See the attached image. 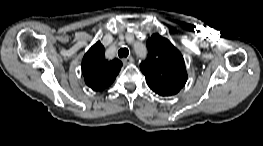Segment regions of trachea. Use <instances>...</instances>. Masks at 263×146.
I'll return each instance as SVG.
<instances>
[{
	"label": "trachea",
	"mask_w": 263,
	"mask_h": 146,
	"mask_svg": "<svg viewBox=\"0 0 263 146\" xmlns=\"http://www.w3.org/2000/svg\"><path fill=\"white\" fill-rule=\"evenodd\" d=\"M129 55V50L127 48H121L119 51H118V56L120 58L122 57H127Z\"/></svg>",
	"instance_id": "3493384b"
}]
</instances>
